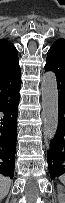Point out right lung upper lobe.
Here are the masks:
<instances>
[{"label":"right lung upper lobe","mask_w":65,"mask_h":203,"mask_svg":"<svg viewBox=\"0 0 65 203\" xmlns=\"http://www.w3.org/2000/svg\"><path fill=\"white\" fill-rule=\"evenodd\" d=\"M19 69L17 49L11 42L0 39V73H11Z\"/></svg>","instance_id":"right-lung-upper-lobe-1"}]
</instances>
